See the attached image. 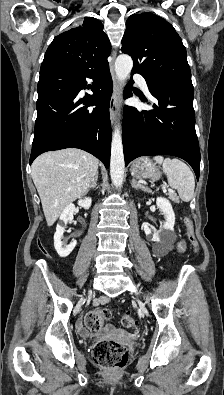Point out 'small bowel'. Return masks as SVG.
<instances>
[{
	"instance_id": "c3829d8e",
	"label": "small bowel",
	"mask_w": 224,
	"mask_h": 395,
	"mask_svg": "<svg viewBox=\"0 0 224 395\" xmlns=\"http://www.w3.org/2000/svg\"><path fill=\"white\" fill-rule=\"evenodd\" d=\"M184 249H185V243H184V241L178 242V244H177V250H178L179 252H182V251H184ZM107 300H108V298H106V297H101L98 301H99V302H106ZM77 329H78V331H79V333H80L81 335H83V336H88V335H89L88 332H87V331L85 330V328L83 327L81 320H79V321L77 322Z\"/></svg>"
}]
</instances>
